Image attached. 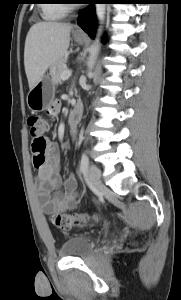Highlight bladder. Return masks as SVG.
<instances>
[{
  "label": "bladder",
  "mask_w": 181,
  "mask_h": 300,
  "mask_svg": "<svg viewBox=\"0 0 181 300\" xmlns=\"http://www.w3.org/2000/svg\"><path fill=\"white\" fill-rule=\"evenodd\" d=\"M92 249V239L88 236L79 235L66 243L63 253L70 258H84L91 253Z\"/></svg>",
  "instance_id": "31cf9c89"
}]
</instances>
